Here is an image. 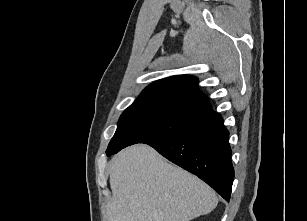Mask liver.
<instances>
[{"label": "liver", "mask_w": 307, "mask_h": 221, "mask_svg": "<svg viewBox=\"0 0 307 221\" xmlns=\"http://www.w3.org/2000/svg\"><path fill=\"white\" fill-rule=\"evenodd\" d=\"M110 187L107 221H190L218 204L207 184L143 144L111 160Z\"/></svg>", "instance_id": "liver-1"}]
</instances>
